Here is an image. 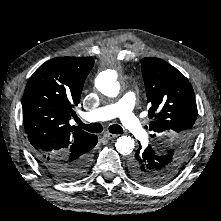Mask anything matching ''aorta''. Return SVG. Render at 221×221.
I'll return each mask as SVG.
<instances>
[{
  "mask_svg": "<svg viewBox=\"0 0 221 221\" xmlns=\"http://www.w3.org/2000/svg\"><path fill=\"white\" fill-rule=\"evenodd\" d=\"M117 72L114 70H107L101 72L96 80V88L105 96L114 98L120 92V84L117 81ZM116 150L122 155L132 153L134 149V140L129 136H121L115 143Z\"/></svg>",
  "mask_w": 221,
  "mask_h": 221,
  "instance_id": "aorta-1",
  "label": "aorta"
}]
</instances>
